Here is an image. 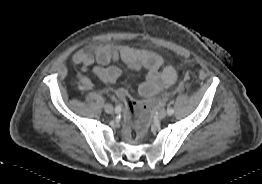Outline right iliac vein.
<instances>
[{
    "label": "right iliac vein",
    "instance_id": "63e3f726",
    "mask_svg": "<svg viewBox=\"0 0 262 184\" xmlns=\"http://www.w3.org/2000/svg\"><path fill=\"white\" fill-rule=\"evenodd\" d=\"M104 110L108 114H112L114 112V108H113V106L111 104H106L104 106Z\"/></svg>",
    "mask_w": 262,
    "mask_h": 184
}]
</instances>
